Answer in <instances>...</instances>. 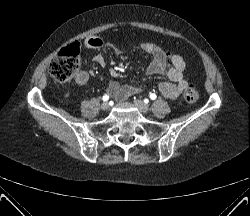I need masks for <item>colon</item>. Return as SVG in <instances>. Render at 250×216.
Here are the masks:
<instances>
[{
    "instance_id": "colon-1",
    "label": "colon",
    "mask_w": 250,
    "mask_h": 216,
    "mask_svg": "<svg viewBox=\"0 0 250 216\" xmlns=\"http://www.w3.org/2000/svg\"><path fill=\"white\" fill-rule=\"evenodd\" d=\"M79 54L80 47L77 43L63 48L50 64L49 71L51 76L59 82L71 80L79 69ZM183 98L187 103L196 102L199 98L196 86L193 84L188 85Z\"/></svg>"
}]
</instances>
